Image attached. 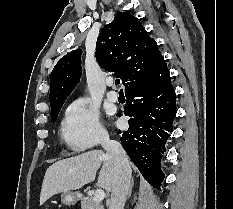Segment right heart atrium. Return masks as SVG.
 <instances>
[{
	"mask_svg": "<svg viewBox=\"0 0 233 209\" xmlns=\"http://www.w3.org/2000/svg\"><path fill=\"white\" fill-rule=\"evenodd\" d=\"M62 134L67 146L74 151L91 149L108 140L98 109L86 99H76L67 107Z\"/></svg>",
	"mask_w": 233,
	"mask_h": 209,
	"instance_id": "d8ad5b80",
	"label": "right heart atrium"
}]
</instances>
